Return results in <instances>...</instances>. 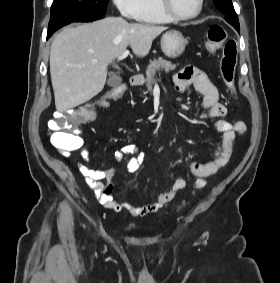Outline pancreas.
<instances>
[{"label":"pancreas","mask_w":280,"mask_h":283,"mask_svg":"<svg viewBox=\"0 0 280 283\" xmlns=\"http://www.w3.org/2000/svg\"><path fill=\"white\" fill-rule=\"evenodd\" d=\"M176 68V64H172L170 61H167L163 58H158L150 61V64L148 65L146 69V79H145V85L148 89V91H152V88L156 82L155 75L156 73H160L161 71H165L168 73L171 70H174Z\"/></svg>","instance_id":"1"}]
</instances>
